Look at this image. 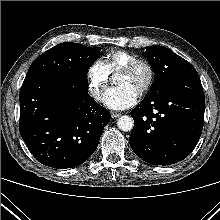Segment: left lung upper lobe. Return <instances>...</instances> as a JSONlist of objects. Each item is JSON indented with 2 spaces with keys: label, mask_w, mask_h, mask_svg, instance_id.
<instances>
[{
  "label": "left lung upper lobe",
  "mask_w": 220,
  "mask_h": 220,
  "mask_svg": "<svg viewBox=\"0 0 220 220\" xmlns=\"http://www.w3.org/2000/svg\"><path fill=\"white\" fill-rule=\"evenodd\" d=\"M145 56L155 74L154 82L144 98L165 90L180 77L197 74L188 61L163 46H147Z\"/></svg>",
  "instance_id": "5c2ea615"
}]
</instances>
